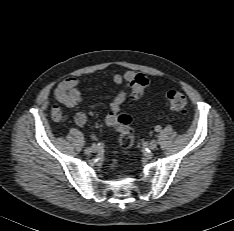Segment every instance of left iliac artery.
<instances>
[{"label": "left iliac artery", "instance_id": "1", "mask_svg": "<svg viewBox=\"0 0 234 231\" xmlns=\"http://www.w3.org/2000/svg\"><path fill=\"white\" fill-rule=\"evenodd\" d=\"M155 131H156V132H160V131H161V126H160V125H157V126L155 127Z\"/></svg>", "mask_w": 234, "mask_h": 231}]
</instances>
